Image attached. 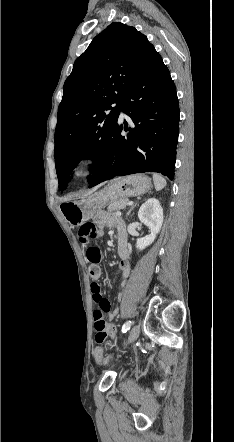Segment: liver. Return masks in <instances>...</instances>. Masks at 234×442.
<instances>
[{
    "label": "liver",
    "instance_id": "liver-1",
    "mask_svg": "<svg viewBox=\"0 0 234 442\" xmlns=\"http://www.w3.org/2000/svg\"><path fill=\"white\" fill-rule=\"evenodd\" d=\"M102 185H103V183L100 184V185H98V186H96V187H94L92 190L89 191V194L92 193V192H94V191H96V190H97L100 186H102Z\"/></svg>",
    "mask_w": 234,
    "mask_h": 442
}]
</instances>
